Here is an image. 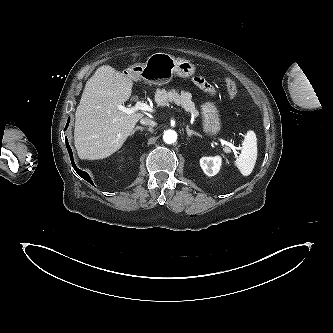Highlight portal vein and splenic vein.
<instances>
[{"label":"portal vein and splenic vein","mask_w":333,"mask_h":333,"mask_svg":"<svg viewBox=\"0 0 333 333\" xmlns=\"http://www.w3.org/2000/svg\"><path fill=\"white\" fill-rule=\"evenodd\" d=\"M119 110H121L122 112L130 115V114H133L135 113L136 111L138 110H142V111H151V108L149 107L148 104L146 103H143L141 101H137V103L135 104V106L131 107V108H126L125 106L123 105H118L117 106ZM220 142L221 144L224 146H229L235 155L238 154V151H237V147L236 146H233V145H230V143H228L227 141L225 140H222L220 139ZM230 148H225V152H229L230 151Z\"/></svg>","instance_id":"18ae733b"}]
</instances>
